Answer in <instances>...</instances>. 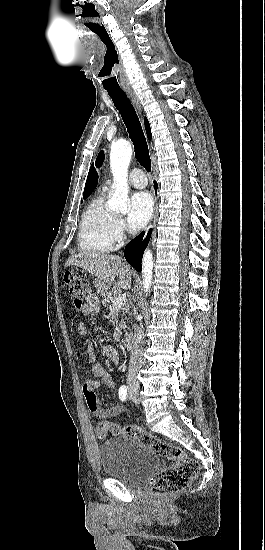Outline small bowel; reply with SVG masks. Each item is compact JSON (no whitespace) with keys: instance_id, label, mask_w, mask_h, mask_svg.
Wrapping results in <instances>:
<instances>
[{"instance_id":"obj_1","label":"small bowel","mask_w":265,"mask_h":550,"mask_svg":"<svg viewBox=\"0 0 265 550\" xmlns=\"http://www.w3.org/2000/svg\"><path fill=\"white\" fill-rule=\"evenodd\" d=\"M100 301L96 294H90L86 298V302L83 305L82 313L84 314H94L99 310ZM77 334L84 338V349L86 352V364H91L90 373L93 376L91 379H87L83 384V394L85 396L89 410L98 418L105 419L111 418L118 415L121 411L119 406H112L109 408H104L98 398L96 397L95 391L101 388H115V381L112 374L108 373L103 365L99 363H94L95 354L94 349L90 341L86 338L87 329L86 327L78 323L75 326ZM102 354L111 362H117L119 359L116 349L109 345L102 346Z\"/></svg>"}]
</instances>
